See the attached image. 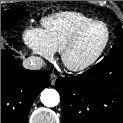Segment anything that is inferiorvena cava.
Instances as JSON below:
<instances>
[{"instance_id": "602c4592", "label": "inferior vena cava", "mask_w": 123, "mask_h": 123, "mask_svg": "<svg viewBox=\"0 0 123 123\" xmlns=\"http://www.w3.org/2000/svg\"><path fill=\"white\" fill-rule=\"evenodd\" d=\"M44 66V61L41 57L30 56L23 60V67L30 70H40Z\"/></svg>"}]
</instances>
